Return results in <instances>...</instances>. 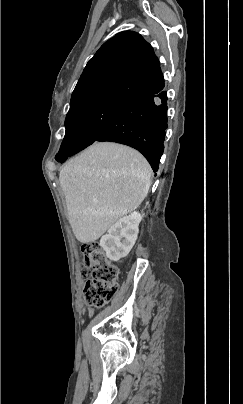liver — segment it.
<instances>
[{
    "mask_svg": "<svg viewBox=\"0 0 243 404\" xmlns=\"http://www.w3.org/2000/svg\"><path fill=\"white\" fill-rule=\"evenodd\" d=\"M151 168L133 148L97 142L66 162L59 174L69 224L81 244L99 240L119 218L139 208Z\"/></svg>",
    "mask_w": 243,
    "mask_h": 404,
    "instance_id": "1",
    "label": "liver"
}]
</instances>
